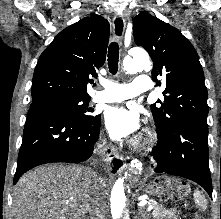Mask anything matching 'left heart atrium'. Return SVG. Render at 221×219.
Here are the masks:
<instances>
[{"instance_id":"1","label":"left heart atrium","mask_w":221,"mask_h":219,"mask_svg":"<svg viewBox=\"0 0 221 219\" xmlns=\"http://www.w3.org/2000/svg\"><path fill=\"white\" fill-rule=\"evenodd\" d=\"M105 124L110 136L120 140L133 136L140 128L137 112L123 106L111 107L105 114Z\"/></svg>"}]
</instances>
